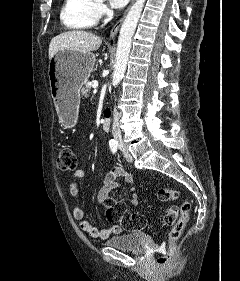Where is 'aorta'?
<instances>
[{"instance_id": "1", "label": "aorta", "mask_w": 240, "mask_h": 281, "mask_svg": "<svg viewBox=\"0 0 240 281\" xmlns=\"http://www.w3.org/2000/svg\"><path fill=\"white\" fill-rule=\"evenodd\" d=\"M102 1V0H100ZM145 0H136L129 9L125 20L121 26L116 51V62L112 75V82L118 85L126 71L129 53L131 50L132 37L135 33L137 23L140 19Z\"/></svg>"}]
</instances>
